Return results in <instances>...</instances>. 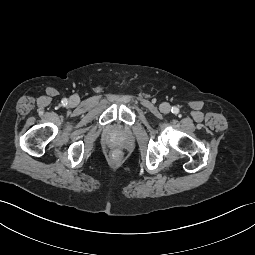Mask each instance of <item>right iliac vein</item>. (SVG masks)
I'll return each mask as SVG.
<instances>
[{
  "label": "right iliac vein",
  "instance_id": "right-iliac-vein-1",
  "mask_svg": "<svg viewBox=\"0 0 255 255\" xmlns=\"http://www.w3.org/2000/svg\"><path fill=\"white\" fill-rule=\"evenodd\" d=\"M78 102H79V98L78 97L74 96V97L70 98V103L72 105H76Z\"/></svg>",
  "mask_w": 255,
  "mask_h": 255
}]
</instances>
